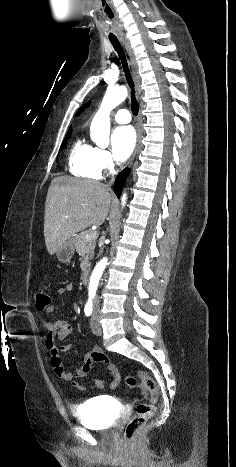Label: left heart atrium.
Instances as JSON below:
<instances>
[{"mask_svg": "<svg viewBox=\"0 0 236 467\" xmlns=\"http://www.w3.org/2000/svg\"><path fill=\"white\" fill-rule=\"evenodd\" d=\"M135 132L131 126L116 127L111 135L112 151L118 161H125L135 147Z\"/></svg>", "mask_w": 236, "mask_h": 467, "instance_id": "obj_1", "label": "left heart atrium"}]
</instances>
